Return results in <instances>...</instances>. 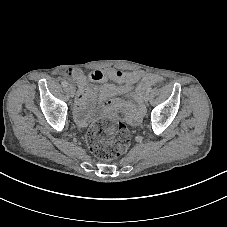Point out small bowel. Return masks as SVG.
<instances>
[{
    "mask_svg": "<svg viewBox=\"0 0 227 227\" xmlns=\"http://www.w3.org/2000/svg\"><path fill=\"white\" fill-rule=\"evenodd\" d=\"M70 77L74 79L78 85L75 118L82 125L86 124L88 121L86 110L89 103L96 97L97 94V89L93 86H89L88 81L104 82L107 79H112L130 86L142 79L139 86V93H142L149 85L160 81V77L155 75H141L138 72H124L116 69L94 70L88 74H85L80 70H75ZM112 91L113 90L110 86H104L102 90L105 96H108ZM111 105V101L107 99L104 101L105 107H110ZM134 119H137V116H135Z\"/></svg>",
    "mask_w": 227,
    "mask_h": 227,
    "instance_id": "obj_1",
    "label": "small bowel"
}]
</instances>
